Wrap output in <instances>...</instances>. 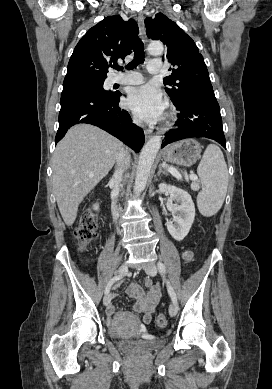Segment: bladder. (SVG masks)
<instances>
[{"label": "bladder", "mask_w": 272, "mask_h": 389, "mask_svg": "<svg viewBox=\"0 0 272 389\" xmlns=\"http://www.w3.org/2000/svg\"><path fill=\"white\" fill-rule=\"evenodd\" d=\"M108 334L111 338L115 339L118 347L129 353H145L155 350L164 345V339H153V340H130V339H119L118 334L108 329Z\"/></svg>", "instance_id": "obj_1"}]
</instances>
